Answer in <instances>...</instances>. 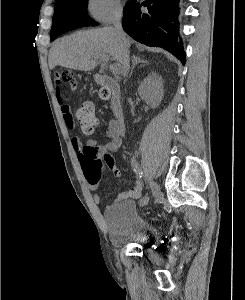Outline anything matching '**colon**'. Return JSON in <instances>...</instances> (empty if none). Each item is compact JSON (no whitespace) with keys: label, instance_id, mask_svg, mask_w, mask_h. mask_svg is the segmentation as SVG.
Returning <instances> with one entry per match:
<instances>
[{"label":"colon","instance_id":"5ec220e1","mask_svg":"<svg viewBox=\"0 0 245 300\" xmlns=\"http://www.w3.org/2000/svg\"><path fill=\"white\" fill-rule=\"evenodd\" d=\"M54 80L58 85L62 83L66 84L72 91H74L78 85L76 77L69 70L56 72ZM99 95L102 99H107L110 95V91L106 88H102ZM76 119L85 134L89 135L95 132L98 121L94 105L91 102H84L78 107L76 110ZM82 167L85 176L91 183H95L99 179L101 165L100 160L96 158L95 150H89L85 153L82 160Z\"/></svg>","mask_w":245,"mask_h":300}]
</instances>
